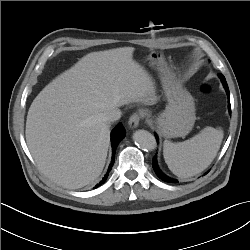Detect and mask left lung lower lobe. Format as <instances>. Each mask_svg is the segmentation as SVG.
Listing matches in <instances>:
<instances>
[{
  "label": "left lung lower lobe",
  "instance_id": "obj_1",
  "mask_svg": "<svg viewBox=\"0 0 250 250\" xmlns=\"http://www.w3.org/2000/svg\"><path fill=\"white\" fill-rule=\"evenodd\" d=\"M219 78L221 79V82L223 83V86L227 92V95L228 97L230 96V93H229V88H228V85H227V82L225 80V77L222 75V74H218ZM228 108H229V112L231 114V107H230V98H229V101H228ZM156 139H157V136H156ZM153 169L155 171V173L157 174V176L162 179L163 181H166V182H169V183H177L178 181L175 180V179H172V178H169L167 177L166 175H164L161 170L159 169L158 167V164H157V160H156V157L153 158Z\"/></svg>",
  "mask_w": 250,
  "mask_h": 250
}]
</instances>
